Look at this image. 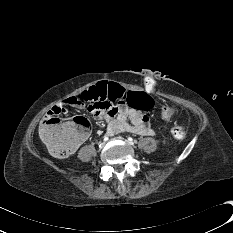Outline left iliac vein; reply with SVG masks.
<instances>
[{
    "mask_svg": "<svg viewBox=\"0 0 233 233\" xmlns=\"http://www.w3.org/2000/svg\"><path fill=\"white\" fill-rule=\"evenodd\" d=\"M117 139L126 141V140H125L124 138H122V137H117Z\"/></svg>",
    "mask_w": 233,
    "mask_h": 233,
    "instance_id": "4c4485c4",
    "label": "left iliac vein"
}]
</instances>
